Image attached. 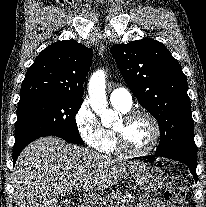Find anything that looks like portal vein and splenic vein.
Wrapping results in <instances>:
<instances>
[{"label":"portal vein and splenic vein","instance_id":"portal-vein-and-splenic-vein-1","mask_svg":"<svg viewBox=\"0 0 206 207\" xmlns=\"http://www.w3.org/2000/svg\"><path fill=\"white\" fill-rule=\"evenodd\" d=\"M81 188V185H76L75 189L79 190Z\"/></svg>","mask_w":206,"mask_h":207}]
</instances>
